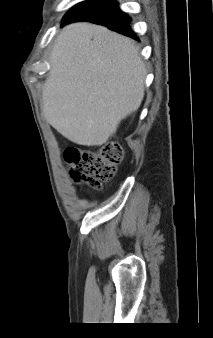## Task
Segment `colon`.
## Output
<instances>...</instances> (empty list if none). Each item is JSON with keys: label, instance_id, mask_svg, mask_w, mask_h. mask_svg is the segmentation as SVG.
Segmentation results:
<instances>
[{"label": "colon", "instance_id": "obj_1", "mask_svg": "<svg viewBox=\"0 0 213 338\" xmlns=\"http://www.w3.org/2000/svg\"><path fill=\"white\" fill-rule=\"evenodd\" d=\"M74 183H86L99 190L112 180L122 161L123 149L116 142H108L99 148L68 147L63 153Z\"/></svg>", "mask_w": 213, "mask_h": 338}]
</instances>
